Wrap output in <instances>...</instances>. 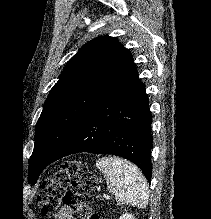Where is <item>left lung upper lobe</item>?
<instances>
[{"instance_id": "obj_1", "label": "left lung upper lobe", "mask_w": 211, "mask_h": 219, "mask_svg": "<svg viewBox=\"0 0 211 219\" xmlns=\"http://www.w3.org/2000/svg\"><path fill=\"white\" fill-rule=\"evenodd\" d=\"M133 64L129 50L113 37L86 43L66 64L46 99L36 125L33 153L38 149L50 157L59 153L86 112ZM42 171L31 156L32 185Z\"/></svg>"}]
</instances>
